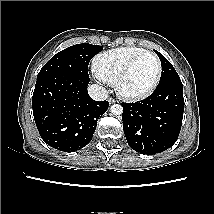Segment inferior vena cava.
Segmentation results:
<instances>
[{
  "mask_svg": "<svg viewBox=\"0 0 214 214\" xmlns=\"http://www.w3.org/2000/svg\"><path fill=\"white\" fill-rule=\"evenodd\" d=\"M88 93L90 97L96 101H104L108 98V91L98 84L90 85L88 87Z\"/></svg>",
  "mask_w": 214,
  "mask_h": 214,
  "instance_id": "1",
  "label": "inferior vena cava"
}]
</instances>
